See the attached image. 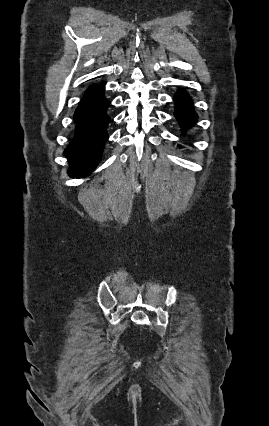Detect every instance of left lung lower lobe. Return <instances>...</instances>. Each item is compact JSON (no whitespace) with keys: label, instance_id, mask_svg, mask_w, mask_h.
Listing matches in <instances>:
<instances>
[{"label":"left lung lower lobe","instance_id":"0a47b994","mask_svg":"<svg viewBox=\"0 0 269 426\" xmlns=\"http://www.w3.org/2000/svg\"><path fill=\"white\" fill-rule=\"evenodd\" d=\"M176 105L175 117L183 127H189L197 118L190 97L183 90L178 91L174 96Z\"/></svg>","mask_w":269,"mask_h":426}]
</instances>
